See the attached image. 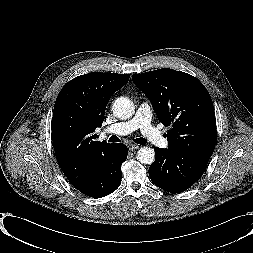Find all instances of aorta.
<instances>
[{
	"label": "aorta",
	"mask_w": 253,
	"mask_h": 253,
	"mask_svg": "<svg viewBox=\"0 0 253 253\" xmlns=\"http://www.w3.org/2000/svg\"><path fill=\"white\" fill-rule=\"evenodd\" d=\"M113 114L119 119H129L135 112L133 102L127 97H119L112 106ZM137 159L142 164H152L155 161V152L152 148L144 146L137 152Z\"/></svg>",
	"instance_id": "762f6f07"
}]
</instances>
